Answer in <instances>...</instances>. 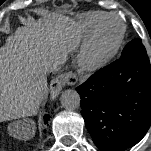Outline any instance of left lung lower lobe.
I'll use <instances>...</instances> for the list:
<instances>
[{"label": "left lung lower lobe", "mask_w": 151, "mask_h": 151, "mask_svg": "<svg viewBox=\"0 0 151 151\" xmlns=\"http://www.w3.org/2000/svg\"><path fill=\"white\" fill-rule=\"evenodd\" d=\"M85 125L101 151H124L151 125V64L146 52L120 58L76 88Z\"/></svg>", "instance_id": "1"}]
</instances>
